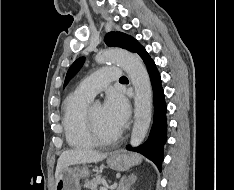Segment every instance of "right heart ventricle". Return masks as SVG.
Returning a JSON list of instances; mask_svg holds the SVG:
<instances>
[{
  "instance_id": "e07e8e85",
  "label": "right heart ventricle",
  "mask_w": 234,
  "mask_h": 190,
  "mask_svg": "<svg viewBox=\"0 0 234 190\" xmlns=\"http://www.w3.org/2000/svg\"><path fill=\"white\" fill-rule=\"evenodd\" d=\"M92 97L73 92L69 94L63 103V128L68 144L77 149H88L96 145L91 136L85 112Z\"/></svg>"
}]
</instances>
